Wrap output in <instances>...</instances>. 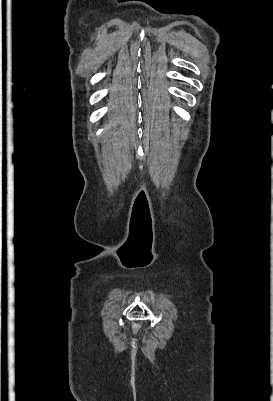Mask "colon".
Returning <instances> with one entry per match:
<instances>
[{"label":"colon","instance_id":"obj_1","mask_svg":"<svg viewBox=\"0 0 273 401\" xmlns=\"http://www.w3.org/2000/svg\"><path fill=\"white\" fill-rule=\"evenodd\" d=\"M134 325L136 326V327H135V330H138V327L141 325V322H140L139 320H136V321L134 322Z\"/></svg>","mask_w":273,"mask_h":401}]
</instances>
